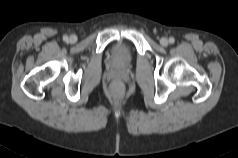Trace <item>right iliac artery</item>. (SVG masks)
I'll list each match as a JSON object with an SVG mask.
<instances>
[{
  "mask_svg": "<svg viewBox=\"0 0 238 158\" xmlns=\"http://www.w3.org/2000/svg\"><path fill=\"white\" fill-rule=\"evenodd\" d=\"M68 39H69L68 36H64V37H63V40H64V41H68Z\"/></svg>",
  "mask_w": 238,
  "mask_h": 158,
  "instance_id": "obj_1",
  "label": "right iliac artery"
}]
</instances>
